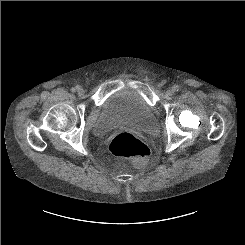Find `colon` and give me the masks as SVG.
Returning <instances> with one entry per match:
<instances>
[{
  "mask_svg": "<svg viewBox=\"0 0 245 245\" xmlns=\"http://www.w3.org/2000/svg\"><path fill=\"white\" fill-rule=\"evenodd\" d=\"M109 151L115 156L130 160L135 165L145 164L150 157L149 147L129 131L115 135L109 144Z\"/></svg>",
  "mask_w": 245,
  "mask_h": 245,
  "instance_id": "5ec220e1",
  "label": "colon"
}]
</instances>
